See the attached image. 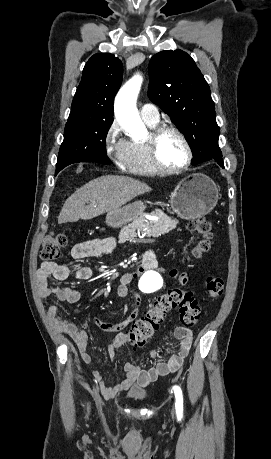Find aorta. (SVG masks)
I'll list each match as a JSON object with an SVG mask.
<instances>
[{"label": "aorta", "instance_id": "aorta-1", "mask_svg": "<svg viewBox=\"0 0 271 459\" xmlns=\"http://www.w3.org/2000/svg\"><path fill=\"white\" fill-rule=\"evenodd\" d=\"M142 77L137 75L130 79L118 92L114 111L121 126L129 133L141 137L145 127L136 108V100L142 84ZM163 285V278L157 270H147L138 282L139 289L145 293H152Z\"/></svg>", "mask_w": 271, "mask_h": 459}]
</instances>
